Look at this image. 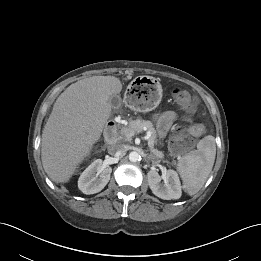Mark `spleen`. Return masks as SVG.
<instances>
[{
	"label": "spleen",
	"instance_id": "obj_1",
	"mask_svg": "<svg viewBox=\"0 0 261 261\" xmlns=\"http://www.w3.org/2000/svg\"><path fill=\"white\" fill-rule=\"evenodd\" d=\"M215 156V138L206 136L197 144V150L191 151L179 160L177 171L189 195L196 194L203 187L212 171Z\"/></svg>",
	"mask_w": 261,
	"mask_h": 261
}]
</instances>
